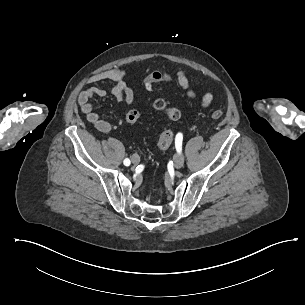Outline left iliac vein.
Here are the masks:
<instances>
[{"label": "left iliac vein", "instance_id": "obj_1", "mask_svg": "<svg viewBox=\"0 0 305 305\" xmlns=\"http://www.w3.org/2000/svg\"><path fill=\"white\" fill-rule=\"evenodd\" d=\"M183 163H184V155L182 152H179L174 156L175 167L181 168L183 166Z\"/></svg>", "mask_w": 305, "mask_h": 305}]
</instances>
